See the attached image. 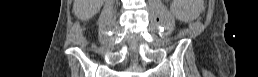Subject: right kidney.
Wrapping results in <instances>:
<instances>
[{
	"instance_id": "right-kidney-1",
	"label": "right kidney",
	"mask_w": 258,
	"mask_h": 77,
	"mask_svg": "<svg viewBox=\"0 0 258 77\" xmlns=\"http://www.w3.org/2000/svg\"><path fill=\"white\" fill-rule=\"evenodd\" d=\"M95 3H97V5H94V6H91L90 9H89V14L92 16L94 14H96L99 10H100V7H101V3L103 2V0H96L94 1Z\"/></svg>"
}]
</instances>
